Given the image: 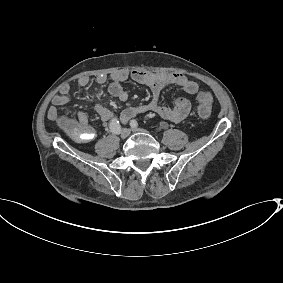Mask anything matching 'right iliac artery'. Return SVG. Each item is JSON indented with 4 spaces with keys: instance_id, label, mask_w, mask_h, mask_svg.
Segmentation results:
<instances>
[{
    "instance_id": "right-iliac-artery-1",
    "label": "right iliac artery",
    "mask_w": 283,
    "mask_h": 283,
    "mask_svg": "<svg viewBox=\"0 0 283 283\" xmlns=\"http://www.w3.org/2000/svg\"><path fill=\"white\" fill-rule=\"evenodd\" d=\"M110 131L113 134H119L121 131V126L117 118H113L109 124Z\"/></svg>"
}]
</instances>
